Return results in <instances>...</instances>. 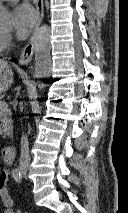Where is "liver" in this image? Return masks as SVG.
<instances>
[{"mask_svg": "<svg viewBox=\"0 0 128 213\" xmlns=\"http://www.w3.org/2000/svg\"><path fill=\"white\" fill-rule=\"evenodd\" d=\"M13 71L8 62L0 59V94L13 84Z\"/></svg>", "mask_w": 128, "mask_h": 213, "instance_id": "6515ba94", "label": "liver"}]
</instances>
